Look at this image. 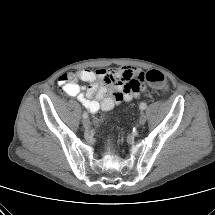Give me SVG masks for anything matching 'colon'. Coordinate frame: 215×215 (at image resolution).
<instances>
[{
  "label": "colon",
  "mask_w": 215,
  "mask_h": 215,
  "mask_svg": "<svg viewBox=\"0 0 215 215\" xmlns=\"http://www.w3.org/2000/svg\"><path fill=\"white\" fill-rule=\"evenodd\" d=\"M142 79H145L151 86L156 88H164L166 86L165 76L158 70L148 71L146 74H143ZM133 86L136 88L138 84H134ZM94 119L96 123H100L102 116L97 114Z\"/></svg>",
  "instance_id": "colon-1"
}]
</instances>
